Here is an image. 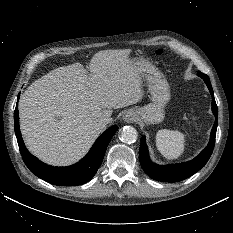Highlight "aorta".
Returning <instances> with one entry per match:
<instances>
[{"instance_id":"aorta-1","label":"aorta","mask_w":233,"mask_h":233,"mask_svg":"<svg viewBox=\"0 0 233 233\" xmlns=\"http://www.w3.org/2000/svg\"><path fill=\"white\" fill-rule=\"evenodd\" d=\"M138 137L137 131L131 126H124L120 132V139L122 142L131 144L136 142Z\"/></svg>"}]
</instances>
